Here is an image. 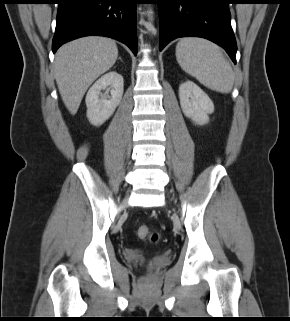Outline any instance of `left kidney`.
<instances>
[{"label": "left kidney", "mask_w": 290, "mask_h": 321, "mask_svg": "<svg viewBox=\"0 0 290 321\" xmlns=\"http://www.w3.org/2000/svg\"><path fill=\"white\" fill-rule=\"evenodd\" d=\"M179 99L186 117L198 125L208 123V115L214 112V104L194 82L186 81L179 86Z\"/></svg>", "instance_id": "obj_1"}]
</instances>
